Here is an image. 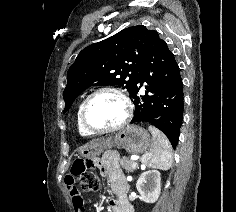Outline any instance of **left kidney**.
I'll return each instance as SVG.
<instances>
[{
	"label": "left kidney",
	"instance_id": "1",
	"mask_svg": "<svg viewBox=\"0 0 236 212\" xmlns=\"http://www.w3.org/2000/svg\"><path fill=\"white\" fill-rule=\"evenodd\" d=\"M136 188L141 195V200L154 203L161 192V176L157 170H149L141 174L136 183Z\"/></svg>",
	"mask_w": 236,
	"mask_h": 212
}]
</instances>
